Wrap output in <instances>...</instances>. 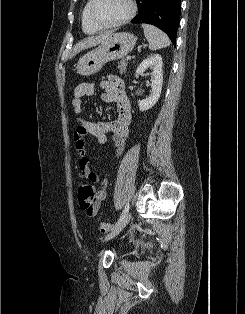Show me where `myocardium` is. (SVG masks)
I'll use <instances>...</instances> for the list:
<instances>
[{"instance_id":"1","label":"myocardium","mask_w":245,"mask_h":314,"mask_svg":"<svg viewBox=\"0 0 245 314\" xmlns=\"http://www.w3.org/2000/svg\"><path fill=\"white\" fill-rule=\"evenodd\" d=\"M97 0H91V5H90V18L92 22L100 29H110V28H115L119 27L121 25L126 24L129 22L136 14L137 11V6L134 0H128V5H129V11L128 13L119 19L116 22L113 23H102L98 20L95 14V7H96Z\"/></svg>"}]
</instances>
